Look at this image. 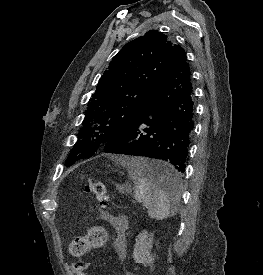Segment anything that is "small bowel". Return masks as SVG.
I'll return each instance as SVG.
<instances>
[{
	"label": "small bowel",
	"instance_id": "obj_1",
	"mask_svg": "<svg viewBox=\"0 0 263 275\" xmlns=\"http://www.w3.org/2000/svg\"><path fill=\"white\" fill-rule=\"evenodd\" d=\"M101 220L107 222L115 233V241L113 247L120 260H124L126 257V233L129 228L128 220L123 216H114L109 211H103L101 213ZM136 275V274H135Z\"/></svg>",
	"mask_w": 263,
	"mask_h": 275
}]
</instances>
